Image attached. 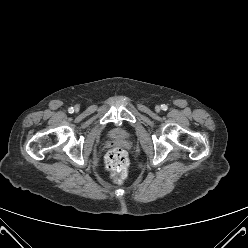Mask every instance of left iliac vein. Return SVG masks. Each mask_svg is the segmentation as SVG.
Masks as SVG:
<instances>
[{
  "mask_svg": "<svg viewBox=\"0 0 248 248\" xmlns=\"http://www.w3.org/2000/svg\"><path fill=\"white\" fill-rule=\"evenodd\" d=\"M160 110H161L160 106H156V111H160Z\"/></svg>",
  "mask_w": 248,
  "mask_h": 248,
  "instance_id": "obj_1",
  "label": "left iliac vein"
}]
</instances>
